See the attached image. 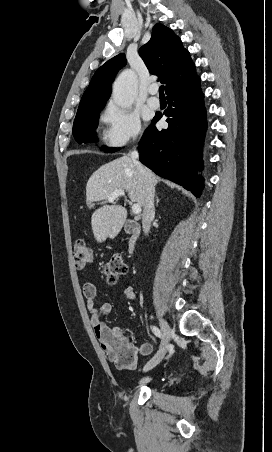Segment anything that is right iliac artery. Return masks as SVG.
Listing matches in <instances>:
<instances>
[{
  "mask_svg": "<svg viewBox=\"0 0 272 452\" xmlns=\"http://www.w3.org/2000/svg\"><path fill=\"white\" fill-rule=\"evenodd\" d=\"M151 329H152V332H153L157 337H159V338L162 337V333H161V331L159 330V328H157V327H155V326H152Z\"/></svg>",
  "mask_w": 272,
  "mask_h": 452,
  "instance_id": "82829eb1",
  "label": "right iliac artery"
}]
</instances>
